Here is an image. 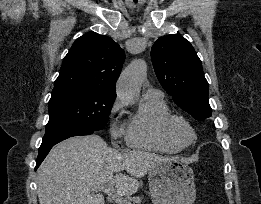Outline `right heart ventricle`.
I'll use <instances>...</instances> for the list:
<instances>
[{
	"label": "right heart ventricle",
	"mask_w": 261,
	"mask_h": 204,
	"mask_svg": "<svg viewBox=\"0 0 261 204\" xmlns=\"http://www.w3.org/2000/svg\"><path fill=\"white\" fill-rule=\"evenodd\" d=\"M170 115L163 98H143L138 112L127 123L126 142L129 147L159 153H176L174 146L162 132V123Z\"/></svg>",
	"instance_id": "right-heart-ventricle-1"
}]
</instances>
